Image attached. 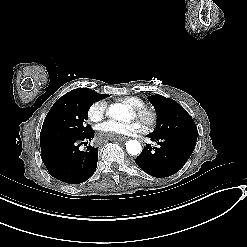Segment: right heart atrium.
<instances>
[{
    "instance_id": "right-heart-atrium-1",
    "label": "right heart atrium",
    "mask_w": 247,
    "mask_h": 247,
    "mask_svg": "<svg viewBox=\"0 0 247 247\" xmlns=\"http://www.w3.org/2000/svg\"><path fill=\"white\" fill-rule=\"evenodd\" d=\"M106 103L103 100L94 102L88 109V117L93 122H99L106 114Z\"/></svg>"
}]
</instances>
